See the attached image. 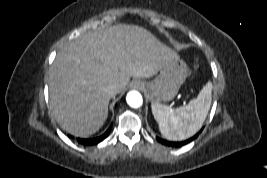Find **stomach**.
<instances>
[{
  "instance_id": "stomach-1",
  "label": "stomach",
  "mask_w": 267,
  "mask_h": 178,
  "mask_svg": "<svg viewBox=\"0 0 267 178\" xmlns=\"http://www.w3.org/2000/svg\"><path fill=\"white\" fill-rule=\"evenodd\" d=\"M187 73V64L176 55L153 80L143 81V88L152 103L170 101L178 93Z\"/></svg>"
}]
</instances>
